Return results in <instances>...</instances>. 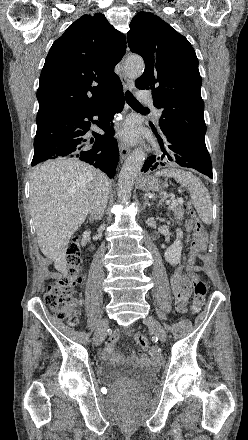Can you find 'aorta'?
Returning a JSON list of instances; mask_svg holds the SVG:
<instances>
[{
  "label": "aorta",
  "instance_id": "762f6f07",
  "mask_svg": "<svg viewBox=\"0 0 248 440\" xmlns=\"http://www.w3.org/2000/svg\"><path fill=\"white\" fill-rule=\"evenodd\" d=\"M126 74L136 79L140 77L145 69L144 61L141 57H128L124 64ZM145 161V152L138 148L125 161L118 178L117 196L121 204H128L131 191L140 170Z\"/></svg>",
  "mask_w": 248,
  "mask_h": 440
}]
</instances>
